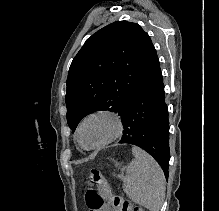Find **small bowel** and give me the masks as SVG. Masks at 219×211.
<instances>
[{"label":"small bowel","instance_id":"small-bowel-1","mask_svg":"<svg viewBox=\"0 0 219 211\" xmlns=\"http://www.w3.org/2000/svg\"><path fill=\"white\" fill-rule=\"evenodd\" d=\"M85 199L90 211H112L111 207L95 191L89 190Z\"/></svg>","mask_w":219,"mask_h":211}]
</instances>
